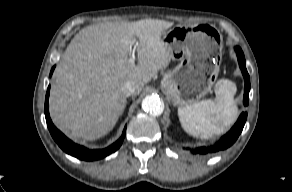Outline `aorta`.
I'll return each instance as SVG.
<instances>
[{"instance_id": "762f6f07", "label": "aorta", "mask_w": 292, "mask_h": 192, "mask_svg": "<svg viewBox=\"0 0 292 192\" xmlns=\"http://www.w3.org/2000/svg\"><path fill=\"white\" fill-rule=\"evenodd\" d=\"M142 108L153 116H159L163 112L160 98L155 95L146 96L142 101Z\"/></svg>"}]
</instances>
